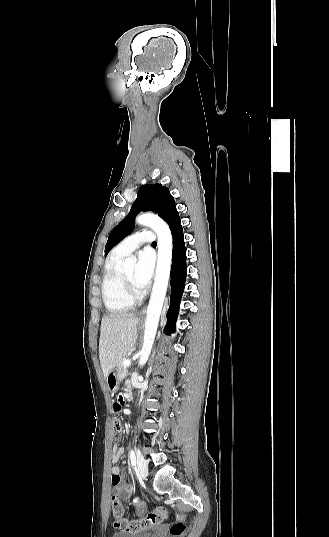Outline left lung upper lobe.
<instances>
[{
    "instance_id": "5c2ea615",
    "label": "left lung upper lobe",
    "mask_w": 329,
    "mask_h": 537,
    "mask_svg": "<svg viewBox=\"0 0 329 537\" xmlns=\"http://www.w3.org/2000/svg\"><path fill=\"white\" fill-rule=\"evenodd\" d=\"M141 211L157 213L170 227L171 232L181 224L174 198L161 184L142 186L129 214L112 230L105 246V256L124 239L134 227V218Z\"/></svg>"
}]
</instances>
